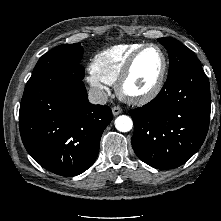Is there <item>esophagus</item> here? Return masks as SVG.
<instances>
[{"label":"esophagus","instance_id":"esophagus-1","mask_svg":"<svg viewBox=\"0 0 221 221\" xmlns=\"http://www.w3.org/2000/svg\"><path fill=\"white\" fill-rule=\"evenodd\" d=\"M112 113L114 116L119 115L120 113H122V109L119 106H114L112 108Z\"/></svg>","mask_w":221,"mask_h":221}]
</instances>
